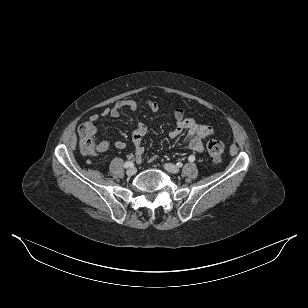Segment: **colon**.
Segmentation results:
<instances>
[{
  "mask_svg": "<svg viewBox=\"0 0 308 308\" xmlns=\"http://www.w3.org/2000/svg\"><path fill=\"white\" fill-rule=\"evenodd\" d=\"M95 123L96 122L90 117V119L82 123L78 129L81 151L88 155L94 154L99 145L97 141L98 128ZM207 151L213 163L218 164L222 161L224 154V145L222 142L217 140L209 141L207 144Z\"/></svg>",
  "mask_w": 308,
  "mask_h": 308,
  "instance_id": "obj_1",
  "label": "colon"
}]
</instances>
